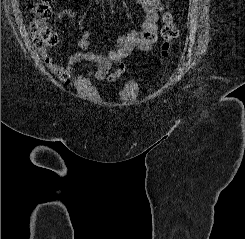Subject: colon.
<instances>
[{"mask_svg": "<svg viewBox=\"0 0 245 239\" xmlns=\"http://www.w3.org/2000/svg\"><path fill=\"white\" fill-rule=\"evenodd\" d=\"M53 1L36 0L31 5V12L34 18L30 24L29 31L34 46L42 55L46 54L57 42V35L47 22L52 15L51 4ZM162 22L160 30L162 38L161 56L167 59L178 36V28L175 24L174 15L170 11H166L163 14Z\"/></svg>", "mask_w": 245, "mask_h": 239, "instance_id": "colon-1", "label": "colon"}]
</instances>
